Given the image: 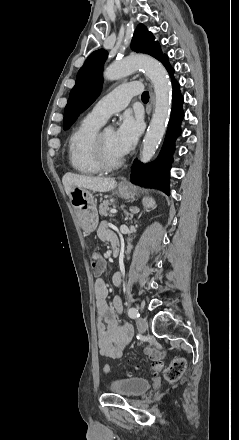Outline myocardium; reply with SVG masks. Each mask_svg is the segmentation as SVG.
Wrapping results in <instances>:
<instances>
[{
	"mask_svg": "<svg viewBox=\"0 0 239 440\" xmlns=\"http://www.w3.org/2000/svg\"><path fill=\"white\" fill-rule=\"evenodd\" d=\"M92 155L98 167L104 171H113L118 169L123 161L124 157L122 155L110 158L102 143V132H97L93 138L91 145Z\"/></svg>",
	"mask_w": 239,
	"mask_h": 440,
	"instance_id": "obj_1",
	"label": "myocardium"
}]
</instances>
